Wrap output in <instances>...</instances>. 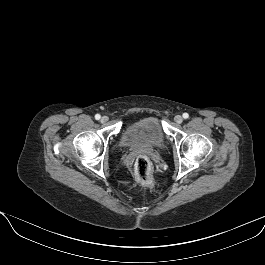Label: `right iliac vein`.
<instances>
[{"label": "right iliac vein", "mask_w": 265, "mask_h": 265, "mask_svg": "<svg viewBox=\"0 0 265 265\" xmlns=\"http://www.w3.org/2000/svg\"><path fill=\"white\" fill-rule=\"evenodd\" d=\"M108 120H109V118H108L107 116H103V117L101 118V122H102V123H106V122H108Z\"/></svg>", "instance_id": "1"}]
</instances>
